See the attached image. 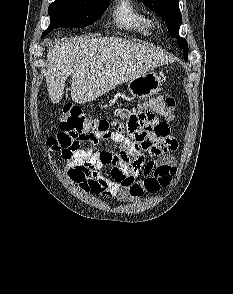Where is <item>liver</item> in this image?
Returning <instances> with one entry per match:
<instances>
[{
    "mask_svg": "<svg viewBox=\"0 0 233 294\" xmlns=\"http://www.w3.org/2000/svg\"><path fill=\"white\" fill-rule=\"evenodd\" d=\"M172 61L155 48L117 37H79L58 42L47 53L49 97L53 103L60 102L65 82L71 76L72 101L90 102Z\"/></svg>",
    "mask_w": 233,
    "mask_h": 294,
    "instance_id": "obj_1",
    "label": "liver"
}]
</instances>
